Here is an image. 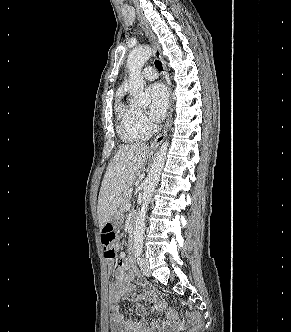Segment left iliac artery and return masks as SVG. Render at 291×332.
<instances>
[{
  "mask_svg": "<svg viewBox=\"0 0 291 332\" xmlns=\"http://www.w3.org/2000/svg\"><path fill=\"white\" fill-rule=\"evenodd\" d=\"M137 263L139 266H142L144 264V260L139 254L137 255Z\"/></svg>",
  "mask_w": 291,
  "mask_h": 332,
  "instance_id": "44dca946",
  "label": "left iliac artery"
}]
</instances>
